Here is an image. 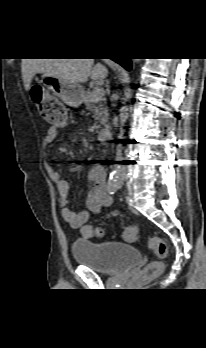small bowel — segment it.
I'll list each match as a JSON object with an SVG mask.
<instances>
[{"instance_id": "1", "label": "small bowel", "mask_w": 206, "mask_h": 348, "mask_svg": "<svg viewBox=\"0 0 206 348\" xmlns=\"http://www.w3.org/2000/svg\"><path fill=\"white\" fill-rule=\"evenodd\" d=\"M57 129L51 127L42 140L45 149L49 148L55 141ZM47 171L51 180L56 184L60 205L62 206L63 218L75 228L82 227L91 214H97L112 204V198L108 194L106 174L102 166L94 165L88 172V181L92 184L86 197V210L75 212L68 207L69 184L61 178L60 173L51 165H47Z\"/></svg>"}]
</instances>
